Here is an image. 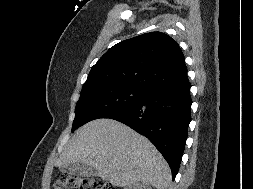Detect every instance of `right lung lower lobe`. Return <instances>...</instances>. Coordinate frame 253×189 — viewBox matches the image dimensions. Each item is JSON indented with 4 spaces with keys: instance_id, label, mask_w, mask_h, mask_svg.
Here are the masks:
<instances>
[{
    "instance_id": "obj_1",
    "label": "right lung lower lobe",
    "mask_w": 253,
    "mask_h": 189,
    "mask_svg": "<svg viewBox=\"0 0 253 189\" xmlns=\"http://www.w3.org/2000/svg\"><path fill=\"white\" fill-rule=\"evenodd\" d=\"M190 87L188 78L154 86L134 105L106 117L146 136L168 162L173 180L179 170L191 121Z\"/></svg>"
}]
</instances>
